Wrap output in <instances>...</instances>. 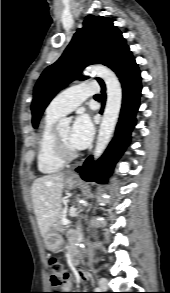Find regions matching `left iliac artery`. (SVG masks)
I'll use <instances>...</instances> for the list:
<instances>
[{
    "label": "left iliac artery",
    "instance_id": "left-iliac-artery-1",
    "mask_svg": "<svg viewBox=\"0 0 170 293\" xmlns=\"http://www.w3.org/2000/svg\"><path fill=\"white\" fill-rule=\"evenodd\" d=\"M96 290H100V288H96Z\"/></svg>",
    "mask_w": 170,
    "mask_h": 293
}]
</instances>
